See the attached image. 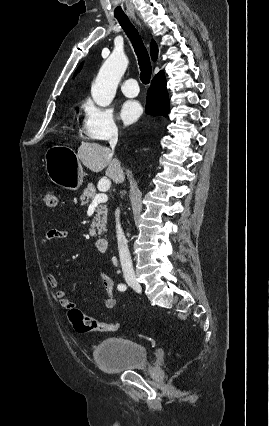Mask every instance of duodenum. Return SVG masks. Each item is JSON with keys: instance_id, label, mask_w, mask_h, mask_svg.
I'll return each instance as SVG.
<instances>
[{"instance_id": "410a0bca", "label": "duodenum", "mask_w": 269, "mask_h": 426, "mask_svg": "<svg viewBox=\"0 0 269 426\" xmlns=\"http://www.w3.org/2000/svg\"><path fill=\"white\" fill-rule=\"evenodd\" d=\"M96 247L99 252L107 253L109 250V240L107 238H99L96 241Z\"/></svg>"}]
</instances>
